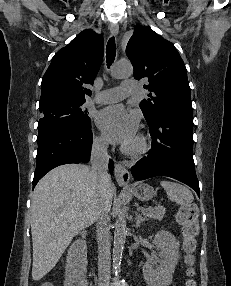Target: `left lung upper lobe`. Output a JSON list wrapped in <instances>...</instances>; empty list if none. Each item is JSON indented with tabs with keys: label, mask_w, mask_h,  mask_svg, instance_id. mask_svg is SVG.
<instances>
[{
	"label": "left lung upper lobe",
	"mask_w": 231,
	"mask_h": 286,
	"mask_svg": "<svg viewBox=\"0 0 231 286\" xmlns=\"http://www.w3.org/2000/svg\"><path fill=\"white\" fill-rule=\"evenodd\" d=\"M126 54L134 67V77L146 78L144 88L150 91L140 108L151 122L165 110L192 113L187 70L174 45L163 39L150 27L136 26Z\"/></svg>",
	"instance_id": "obj_1"
}]
</instances>
